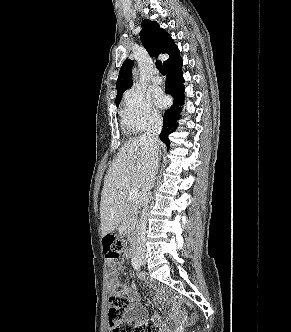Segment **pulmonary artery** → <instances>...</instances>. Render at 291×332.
I'll use <instances>...</instances> for the list:
<instances>
[{
  "instance_id": "1",
  "label": "pulmonary artery",
  "mask_w": 291,
  "mask_h": 332,
  "mask_svg": "<svg viewBox=\"0 0 291 332\" xmlns=\"http://www.w3.org/2000/svg\"><path fill=\"white\" fill-rule=\"evenodd\" d=\"M152 81L156 84H160L162 82V77L157 72H155L152 76Z\"/></svg>"
}]
</instances>
